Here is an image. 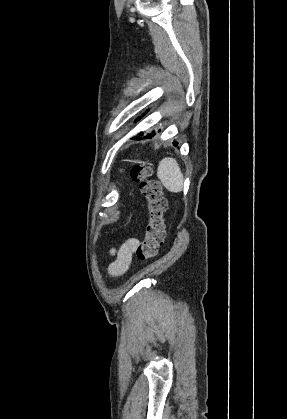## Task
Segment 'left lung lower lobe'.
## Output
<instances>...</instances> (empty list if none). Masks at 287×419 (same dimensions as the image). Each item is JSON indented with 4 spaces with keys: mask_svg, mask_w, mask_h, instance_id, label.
I'll return each instance as SVG.
<instances>
[{
    "mask_svg": "<svg viewBox=\"0 0 287 419\" xmlns=\"http://www.w3.org/2000/svg\"><path fill=\"white\" fill-rule=\"evenodd\" d=\"M147 112H148V110H147L145 113H147ZM139 119H141V117H138V118L136 119V121H138ZM159 131H160V130H159ZM155 134H156V133H155V132H153V133H150V134H146V135H144V134H143V132H140V133H139V135H137V136L133 137L132 139H133V140H142V139L152 138ZM173 144L176 146L178 143H177L176 141H174V142H173Z\"/></svg>",
    "mask_w": 287,
    "mask_h": 419,
    "instance_id": "obj_1",
    "label": "left lung lower lobe"
}]
</instances>
